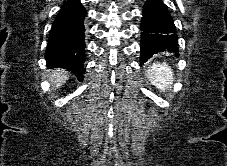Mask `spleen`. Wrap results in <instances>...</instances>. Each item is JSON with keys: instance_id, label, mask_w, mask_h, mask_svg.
Masks as SVG:
<instances>
[{"instance_id": "1", "label": "spleen", "mask_w": 227, "mask_h": 166, "mask_svg": "<svg viewBox=\"0 0 227 166\" xmlns=\"http://www.w3.org/2000/svg\"><path fill=\"white\" fill-rule=\"evenodd\" d=\"M146 76L160 91H165L171 87L174 81L172 69L166 63H153L146 70Z\"/></svg>"}]
</instances>
